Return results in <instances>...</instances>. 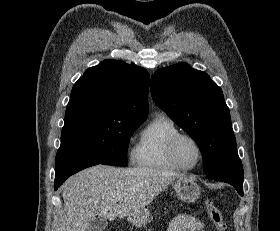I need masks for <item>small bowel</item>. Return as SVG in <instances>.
Instances as JSON below:
<instances>
[{"instance_id":"c3829d8e","label":"small bowel","mask_w":280,"mask_h":231,"mask_svg":"<svg viewBox=\"0 0 280 231\" xmlns=\"http://www.w3.org/2000/svg\"><path fill=\"white\" fill-rule=\"evenodd\" d=\"M203 223L189 215L181 214L175 217L168 227V231H202Z\"/></svg>"}]
</instances>
